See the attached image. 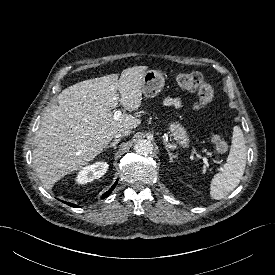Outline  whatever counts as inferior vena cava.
<instances>
[{
  "label": "inferior vena cava",
  "mask_w": 275,
  "mask_h": 275,
  "mask_svg": "<svg viewBox=\"0 0 275 275\" xmlns=\"http://www.w3.org/2000/svg\"><path fill=\"white\" fill-rule=\"evenodd\" d=\"M130 130H127V129H122L120 130L119 132H117L114 137L115 138H120V137H126L130 134Z\"/></svg>",
  "instance_id": "obj_1"
}]
</instances>
